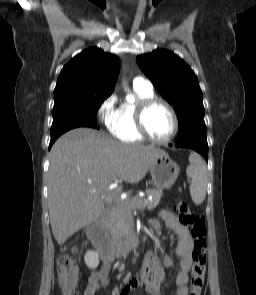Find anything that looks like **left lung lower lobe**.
<instances>
[{
	"instance_id": "obj_1",
	"label": "left lung lower lobe",
	"mask_w": 256,
	"mask_h": 295,
	"mask_svg": "<svg viewBox=\"0 0 256 295\" xmlns=\"http://www.w3.org/2000/svg\"><path fill=\"white\" fill-rule=\"evenodd\" d=\"M176 147L190 148L200 153L208 161V144L203 138H195L180 142H175Z\"/></svg>"
}]
</instances>
